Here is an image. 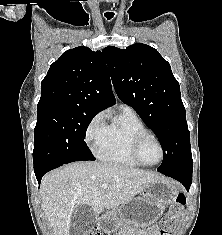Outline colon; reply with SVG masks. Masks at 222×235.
Wrapping results in <instances>:
<instances>
[{
    "mask_svg": "<svg viewBox=\"0 0 222 235\" xmlns=\"http://www.w3.org/2000/svg\"><path fill=\"white\" fill-rule=\"evenodd\" d=\"M186 203V196L183 193L177 195L175 203L169 208L167 214L162 220L158 235H171V230L176 224L183 212V206ZM87 235H103L98 231H90Z\"/></svg>",
    "mask_w": 222,
    "mask_h": 235,
    "instance_id": "colon-1",
    "label": "colon"
}]
</instances>
